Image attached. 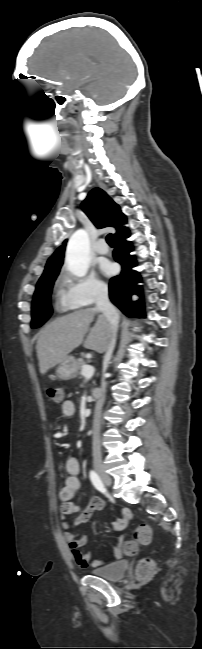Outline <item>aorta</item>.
<instances>
[{
  "label": "aorta",
  "mask_w": 202,
  "mask_h": 649,
  "mask_svg": "<svg viewBox=\"0 0 202 649\" xmlns=\"http://www.w3.org/2000/svg\"><path fill=\"white\" fill-rule=\"evenodd\" d=\"M89 236L83 229L77 230L69 239L66 251V267L74 275L83 277L87 274L89 257Z\"/></svg>",
  "instance_id": "obj_1"
}]
</instances>
